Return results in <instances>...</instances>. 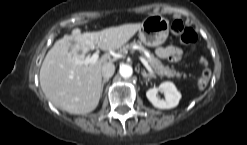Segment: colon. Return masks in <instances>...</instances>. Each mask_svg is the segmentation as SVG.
<instances>
[{"label":"colon","mask_w":247,"mask_h":145,"mask_svg":"<svg viewBox=\"0 0 247 145\" xmlns=\"http://www.w3.org/2000/svg\"><path fill=\"white\" fill-rule=\"evenodd\" d=\"M171 31L180 37V40L184 44H193L197 40V35L192 28L185 27L181 20L173 21L171 25ZM199 64L203 68L201 76L198 79V86L200 88H205L210 80L211 71L208 68V61L206 58L201 57L199 59Z\"/></svg>","instance_id":"1"}]
</instances>
